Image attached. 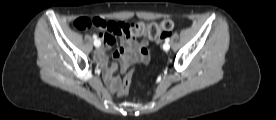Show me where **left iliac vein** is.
I'll return each instance as SVG.
<instances>
[{
    "label": "left iliac vein",
    "instance_id": "obj_1",
    "mask_svg": "<svg viewBox=\"0 0 276 120\" xmlns=\"http://www.w3.org/2000/svg\"><path fill=\"white\" fill-rule=\"evenodd\" d=\"M163 49H164L165 51H168V50L170 49V45H169L168 43H165V44L163 45Z\"/></svg>",
    "mask_w": 276,
    "mask_h": 120
}]
</instances>
